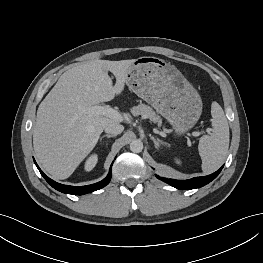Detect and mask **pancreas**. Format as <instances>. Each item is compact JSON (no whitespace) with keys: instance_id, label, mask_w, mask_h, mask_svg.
I'll use <instances>...</instances> for the list:
<instances>
[{"instance_id":"1","label":"pancreas","mask_w":263,"mask_h":263,"mask_svg":"<svg viewBox=\"0 0 263 263\" xmlns=\"http://www.w3.org/2000/svg\"><path fill=\"white\" fill-rule=\"evenodd\" d=\"M131 112L134 116L141 115L145 118H149L154 123H157L158 126H161L162 122L160 117L156 115V113L152 110V108L147 105L140 104L138 106H135L131 109Z\"/></svg>"}]
</instances>
